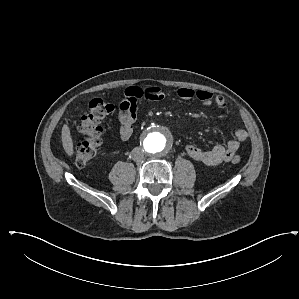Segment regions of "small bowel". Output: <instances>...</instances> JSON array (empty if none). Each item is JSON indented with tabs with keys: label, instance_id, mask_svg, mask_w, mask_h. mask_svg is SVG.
<instances>
[{
	"label": "small bowel",
	"instance_id": "small-bowel-1",
	"mask_svg": "<svg viewBox=\"0 0 299 299\" xmlns=\"http://www.w3.org/2000/svg\"><path fill=\"white\" fill-rule=\"evenodd\" d=\"M177 95L183 100L196 98L205 107L216 106L225 109L226 100L221 95H213L206 90H193L187 87L177 89ZM165 98L164 92L157 87H129L119 103L118 124L119 137L122 141H128L133 136V125L137 117V101L139 99L148 101H160ZM248 139V132L244 129L236 130L226 145H217L210 149L195 145H186L185 152L193 160L206 166H218L229 161L238 151L240 145Z\"/></svg>",
	"mask_w": 299,
	"mask_h": 299
}]
</instances>
